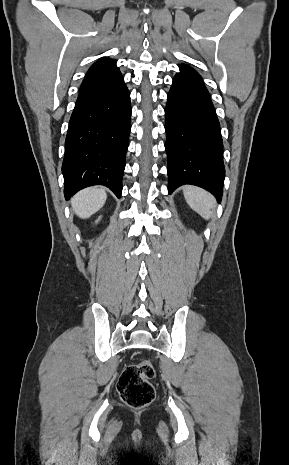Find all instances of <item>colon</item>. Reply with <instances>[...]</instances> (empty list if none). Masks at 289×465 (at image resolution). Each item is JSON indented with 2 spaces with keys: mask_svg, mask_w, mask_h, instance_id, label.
<instances>
[{
  "mask_svg": "<svg viewBox=\"0 0 289 465\" xmlns=\"http://www.w3.org/2000/svg\"><path fill=\"white\" fill-rule=\"evenodd\" d=\"M154 376L155 369L149 360L127 366L117 384L122 401L135 409L149 405L155 397V390L150 382Z\"/></svg>",
  "mask_w": 289,
  "mask_h": 465,
  "instance_id": "5ec220e1",
  "label": "colon"
}]
</instances>
